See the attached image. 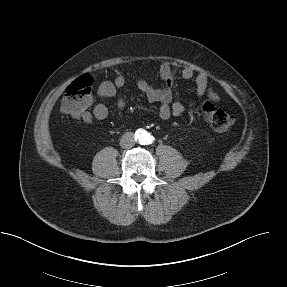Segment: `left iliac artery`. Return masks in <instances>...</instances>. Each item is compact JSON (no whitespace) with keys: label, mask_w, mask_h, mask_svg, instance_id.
<instances>
[{"label":"left iliac artery","mask_w":287,"mask_h":287,"mask_svg":"<svg viewBox=\"0 0 287 287\" xmlns=\"http://www.w3.org/2000/svg\"><path fill=\"white\" fill-rule=\"evenodd\" d=\"M145 141L147 144H151L154 141V138H153V136L147 135Z\"/></svg>","instance_id":"1"}]
</instances>
